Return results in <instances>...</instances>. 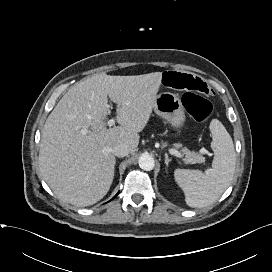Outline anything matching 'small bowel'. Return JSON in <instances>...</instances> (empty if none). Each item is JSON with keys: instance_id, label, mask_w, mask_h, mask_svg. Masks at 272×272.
<instances>
[{"instance_id": "1", "label": "small bowel", "mask_w": 272, "mask_h": 272, "mask_svg": "<svg viewBox=\"0 0 272 272\" xmlns=\"http://www.w3.org/2000/svg\"><path fill=\"white\" fill-rule=\"evenodd\" d=\"M162 83L171 89L199 95H207L211 92L209 85L200 77L179 71L164 72Z\"/></svg>"}]
</instances>
